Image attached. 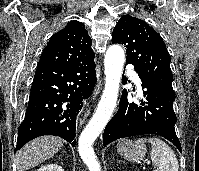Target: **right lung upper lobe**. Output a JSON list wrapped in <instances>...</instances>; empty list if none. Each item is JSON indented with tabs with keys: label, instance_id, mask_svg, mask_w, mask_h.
I'll return each mask as SVG.
<instances>
[{
	"label": "right lung upper lobe",
	"instance_id": "obj_1",
	"mask_svg": "<svg viewBox=\"0 0 199 171\" xmlns=\"http://www.w3.org/2000/svg\"><path fill=\"white\" fill-rule=\"evenodd\" d=\"M91 38L85 25L77 20L55 33L42 52L38 66L74 65L94 58Z\"/></svg>",
	"mask_w": 199,
	"mask_h": 171
}]
</instances>
